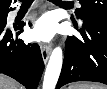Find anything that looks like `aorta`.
I'll return each mask as SVG.
<instances>
[{"instance_id": "1", "label": "aorta", "mask_w": 107, "mask_h": 89, "mask_svg": "<svg viewBox=\"0 0 107 89\" xmlns=\"http://www.w3.org/2000/svg\"><path fill=\"white\" fill-rule=\"evenodd\" d=\"M63 62V53L56 47L50 56L43 80V89H55Z\"/></svg>"}]
</instances>
